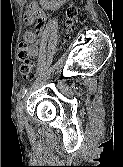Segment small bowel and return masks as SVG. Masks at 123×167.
Instances as JSON below:
<instances>
[{
  "label": "small bowel",
  "instance_id": "small-bowel-1",
  "mask_svg": "<svg viewBox=\"0 0 123 167\" xmlns=\"http://www.w3.org/2000/svg\"><path fill=\"white\" fill-rule=\"evenodd\" d=\"M63 2L65 0H59ZM24 22L27 25L36 24L35 31H26L23 34V40L29 44V58L37 59L41 55V46L39 45L40 40L44 36V23L45 14L42 8L37 4L33 3L24 15Z\"/></svg>",
  "mask_w": 123,
  "mask_h": 167
}]
</instances>
